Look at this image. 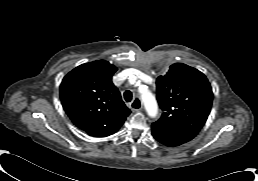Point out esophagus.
Masks as SVG:
<instances>
[{
	"label": "esophagus",
	"instance_id": "1",
	"mask_svg": "<svg viewBox=\"0 0 258 181\" xmlns=\"http://www.w3.org/2000/svg\"><path fill=\"white\" fill-rule=\"evenodd\" d=\"M130 107H131V109H132L133 112H138V111H140V110L142 109V102H141V100H140L138 97H136V98L132 101Z\"/></svg>",
	"mask_w": 258,
	"mask_h": 181
}]
</instances>
